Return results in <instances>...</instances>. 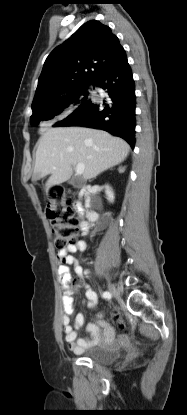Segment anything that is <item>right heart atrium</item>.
Segmentation results:
<instances>
[{
    "label": "right heart atrium",
    "instance_id": "d8ad5b80",
    "mask_svg": "<svg viewBox=\"0 0 187 415\" xmlns=\"http://www.w3.org/2000/svg\"><path fill=\"white\" fill-rule=\"evenodd\" d=\"M65 117V115L61 114L58 116V119H63Z\"/></svg>",
    "mask_w": 187,
    "mask_h": 415
}]
</instances>
